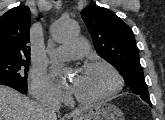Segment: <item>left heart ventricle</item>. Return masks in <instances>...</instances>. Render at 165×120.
Returning <instances> with one entry per match:
<instances>
[{
    "label": "left heart ventricle",
    "instance_id": "b2bd125f",
    "mask_svg": "<svg viewBox=\"0 0 165 120\" xmlns=\"http://www.w3.org/2000/svg\"><path fill=\"white\" fill-rule=\"evenodd\" d=\"M74 93L83 99H94L108 92L114 85L112 74L105 68L82 69L74 77Z\"/></svg>",
    "mask_w": 165,
    "mask_h": 120
}]
</instances>
